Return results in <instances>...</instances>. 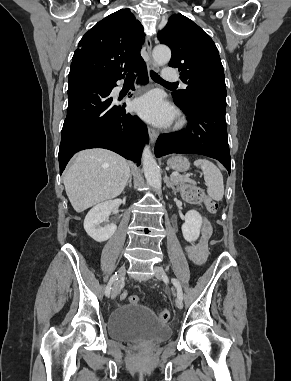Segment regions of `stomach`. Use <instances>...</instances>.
<instances>
[{
    "label": "stomach",
    "mask_w": 291,
    "mask_h": 381,
    "mask_svg": "<svg viewBox=\"0 0 291 381\" xmlns=\"http://www.w3.org/2000/svg\"><path fill=\"white\" fill-rule=\"evenodd\" d=\"M167 165L178 172H185L190 167L188 159L183 156H173L169 158L167 161Z\"/></svg>",
    "instance_id": "obj_1"
}]
</instances>
